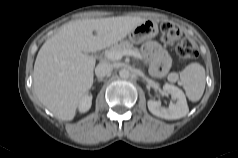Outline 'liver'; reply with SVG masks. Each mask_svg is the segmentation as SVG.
Segmentation results:
<instances>
[{
    "label": "liver",
    "instance_id": "6515ba94",
    "mask_svg": "<svg viewBox=\"0 0 238 158\" xmlns=\"http://www.w3.org/2000/svg\"><path fill=\"white\" fill-rule=\"evenodd\" d=\"M145 19L109 17L82 19L61 26L40 48L33 71L38 100L57 118L70 121L93 85L95 58L87 53L123 40ZM93 31L97 34L93 35Z\"/></svg>",
    "mask_w": 238,
    "mask_h": 158
}]
</instances>
